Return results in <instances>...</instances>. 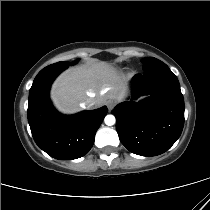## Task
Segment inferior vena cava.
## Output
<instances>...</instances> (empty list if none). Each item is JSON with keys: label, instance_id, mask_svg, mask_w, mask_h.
<instances>
[{"label": "inferior vena cava", "instance_id": "inferior-vena-cava-1", "mask_svg": "<svg viewBox=\"0 0 210 210\" xmlns=\"http://www.w3.org/2000/svg\"><path fill=\"white\" fill-rule=\"evenodd\" d=\"M96 104V101L94 98H87V100L84 102V106L87 108H92Z\"/></svg>", "mask_w": 210, "mask_h": 210}]
</instances>
